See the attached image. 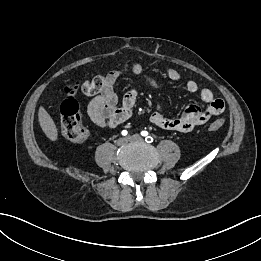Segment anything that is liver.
I'll return each mask as SVG.
<instances>
[{
    "mask_svg": "<svg viewBox=\"0 0 261 261\" xmlns=\"http://www.w3.org/2000/svg\"><path fill=\"white\" fill-rule=\"evenodd\" d=\"M38 121L41 129L51 141H56L58 136L57 127L49 113L43 106L39 107Z\"/></svg>",
    "mask_w": 261,
    "mask_h": 261,
    "instance_id": "obj_1",
    "label": "liver"
}]
</instances>
